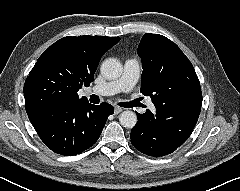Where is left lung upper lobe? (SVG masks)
<instances>
[{
    "label": "left lung upper lobe",
    "instance_id": "1",
    "mask_svg": "<svg viewBox=\"0 0 240 191\" xmlns=\"http://www.w3.org/2000/svg\"><path fill=\"white\" fill-rule=\"evenodd\" d=\"M142 59V94L156 112L173 111L189 102L202 105V92L193 65L179 47L159 34L145 33L137 50Z\"/></svg>",
    "mask_w": 240,
    "mask_h": 191
}]
</instances>
